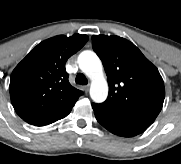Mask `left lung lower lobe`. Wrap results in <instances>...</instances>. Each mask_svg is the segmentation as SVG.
I'll list each match as a JSON object with an SVG mask.
<instances>
[{
  "instance_id": "0a47b994",
  "label": "left lung lower lobe",
  "mask_w": 181,
  "mask_h": 164,
  "mask_svg": "<svg viewBox=\"0 0 181 164\" xmlns=\"http://www.w3.org/2000/svg\"><path fill=\"white\" fill-rule=\"evenodd\" d=\"M98 122L113 134L132 137L144 132L152 123L112 105L92 104Z\"/></svg>"
}]
</instances>
